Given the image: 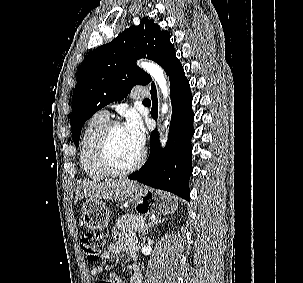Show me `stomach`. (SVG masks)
Instances as JSON below:
<instances>
[{
  "instance_id": "obj_1",
  "label": "stomach",
  "mask_w": 303,
  "mask_h": 283,
  "mask_svg": "<svg viewBox=\"0 0 303 283\" xmlns=\"http://www.w3.org/2000/svg\"><path fill=\"white\" fill-rule=\"evenodd\" d=\"M133 197L135 209L144 214H168L178 207L173 196L151 188H138L133 192ZM80 215L83 224L92 230H102L110 221L109 208L100 199L83 201Z\"/></svg>"
}]
</instances>
